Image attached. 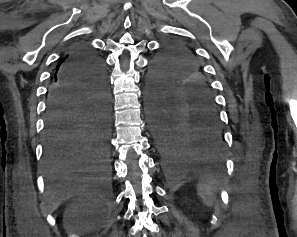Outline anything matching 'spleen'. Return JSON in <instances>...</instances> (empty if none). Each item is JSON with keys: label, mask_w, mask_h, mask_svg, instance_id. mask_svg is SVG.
<instances>
[{"label": "spleen", "mask_w": 297, "mask_h": 237, "mask_svg": "<svg viewBox=\"0 0 297 237\" xmlns=\"http://www.w3.org/2000/svg\"><path fill=\"white\" fill-rule=\"evenodd\" d=\"M213 190V185L206 182L198 184L197 186L198 195L202 198L206 206H213Z\"/></svg>", "instance_id": "spleen-1"}]
</instances>
